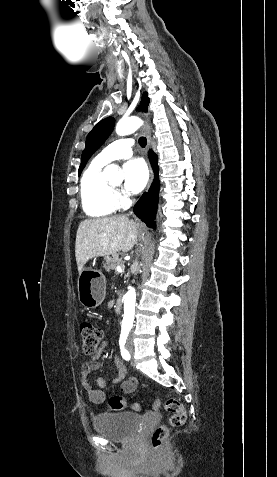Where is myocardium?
Masks as SVG:
<instances>
[{
    "instance_id": "myocardium-1",
    "label": "myocardium",
    "mask_w": 277,
    "mask_h": 477,
    "mask_svg": "<svg viewBox=\"0 0 277 477\" xmlns=\"http://www.w3.org/2000/svg\"><path fill=\"white\" fill-rule=\"evenodd\" d=\"M107 186L112 193H114L116 191V186H114L113 184H111L108 181H107Z\"/></svg>"
}]
</instances>
